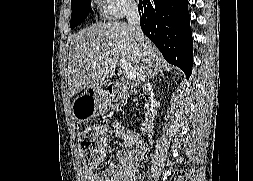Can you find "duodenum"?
I'll return each mask as SVG.
<instances>
[{"label": "duodenum", "instance_id": "410a0bca", "mask_svg": "<svg viewBox=\"0 0 253 181\" xmlns=\"http://www.w3.org/2000/svg\"><path fill=\"white\" fill-rule=\"evenodd\" d=\"M126 93H127L126 92V88L123 85H121V84H114V85H110L108 87V94L114 100L119 99V98L125 96ZM150 129H151L150 122H146L144 130H143V133L149 132Z\"/></svg>", "mask_w": 253, "mask_h": 181}]
</instances>
